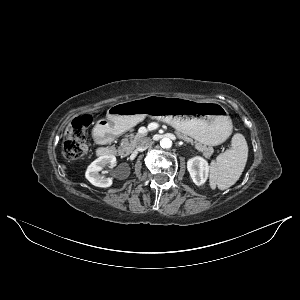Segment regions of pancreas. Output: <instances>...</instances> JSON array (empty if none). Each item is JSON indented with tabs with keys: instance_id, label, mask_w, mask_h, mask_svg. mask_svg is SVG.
I'll use <instances>...</instances> for the list:
<instances>
[{
	"instance_id": "cf45deb5",
	"label": "pancreas",
	"mask_w": 300,
	"mask_h": 300,
	"mask_svg": "<svg viewBox=\"0 0 300 300\" xmlns=\"http://www.w3.org/2000/svg\"><path fill=\"white\" fill-rule=\"evenodd\" d=\"M176 135L186 141L187 143H195V148L202 152V154L206 157L209 158L214 150L212 147H207L206 145H203L199 142H194L192 138L188 137L185 134H182L180 132H176ZM145 135L143 134H130L126 137H124L121 141V148H120V153L121 154H129L140 142V140L144 137Z\"/></svg>"
}]
</instances>
